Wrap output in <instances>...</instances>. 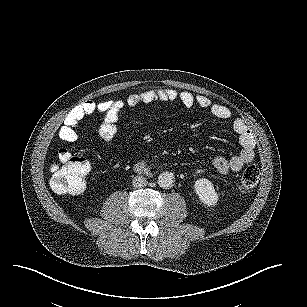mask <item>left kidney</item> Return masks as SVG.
I'll return each instance as SVG.
<instances>
[{
    "label": "left kidney",
    "mask_w": 307,
    "mask_h": 307,
    "mask_svg": "<svg viewBox=\"0 0 307 307\" xmlns=\"http://www.w3.org/2000/svg\"><path fill=\"white\" fill-rule=\"evenodd\" d=\"M199 197L207 204L212 205L217 201V195L212 183L207 179H198L195 183Z\"/></svg>",
    "instance_id": "obj_1"
}]
</instances>
